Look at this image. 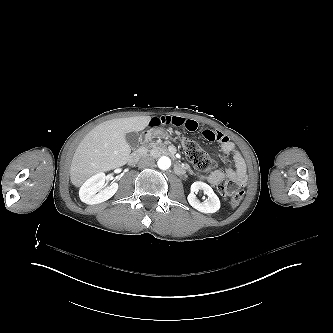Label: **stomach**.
Wrapping results in <instances>:
<instances>
[{
    "instance_id": "stomach-1",
    "label": "stomach",
    "mask_w": 333,
    "mask_h": 333,
    "mask_svg": "<svg viewBox=\"0 0 333 333\" xmlns=\"http://www.w3.org/2000/svg\"><path fill=\"white\" fill-rule=\"evenodd\" d=\"M164 135H166V133L163 129H150L147 132H144L142 137H143V141L147 142L154 137L164 136Z\"/></svg>"
}]
</instances>
